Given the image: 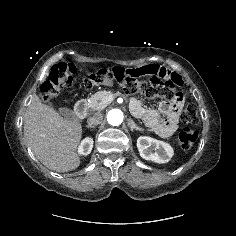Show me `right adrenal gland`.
Masks as SVG:
<instances>
[{"instance_id":"right-adrenal-gland-1","label":"right adrenal gland","mask_w":236,"mask_h":236,"mask_svg":"<svg viewBox=\"0 0 236 236\" xmlns=\"http://www.w3.org/2000/svg\"><path fill=\"white\" fill-rule=\"evenodd\" d=\"M86 127H87L88 129H89V128H95V126H91V125H87Z\"/></svg>"}]
</instances>
